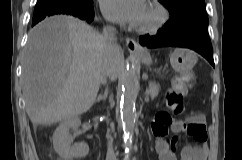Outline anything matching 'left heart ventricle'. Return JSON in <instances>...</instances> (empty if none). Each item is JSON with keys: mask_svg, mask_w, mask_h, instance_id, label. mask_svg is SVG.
Returning a JSON list of instances; mask_svg holds the SVG:
<instances>
[{"mask_svg": "<svg viewBox=\"0 0 242 160\" xmlns=\"http://www.w3.org/2000/svg\"><path fill=\"white\" fill-rule=\"evenodd\" d=\"M156 16V12L148 4H146L138 25L153 23L156 19Z\"/></svg>", "mask_w": 242, "mask_h": 160, "instance_id": "obj_1", "label": "left heart ventricle"}]
</instances>
